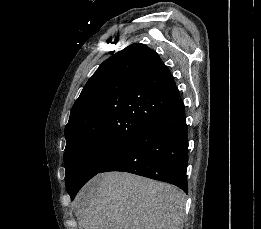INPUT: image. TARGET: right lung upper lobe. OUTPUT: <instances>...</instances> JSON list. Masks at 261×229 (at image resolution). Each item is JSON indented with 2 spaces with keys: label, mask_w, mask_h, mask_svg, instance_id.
<instances>
[{
  "label": "right lung upper lobe",
  "mask_w": 261,
  "mask_h": 229,
  "mask_svg": "<svg viewBox=\"0 0 261 229\" xmlns=\"http://www.w3.org/2000/svg\"><path fill=\"white\" fill-rule=\"evenodd\" d=\"M179 99L158 54L134 43L104 61L74 103L66 146L83 140L131 144Z\"/></svg>",
  "instance_id": "cb5924a9"
}]
</instances>
